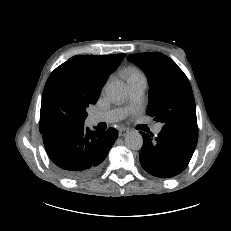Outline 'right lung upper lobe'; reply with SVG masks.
<instances>
[{"mask_svg":"<svg viewBox=\"0 0 231 231\" xmlns=\"http://www.w3.org/2000/svg\"><path fill=\"white\" fill-rule=\"evenodd\" d=\"M125 55H76L57 67L56 70H65L70 73L83 90L100 94L101 87Z\"/></svg>","mask_w":231,"mask_h":231,"instance_id":"right-lung-upper-lobe-1","label":"right lung upper lobe"}]
</instances>
